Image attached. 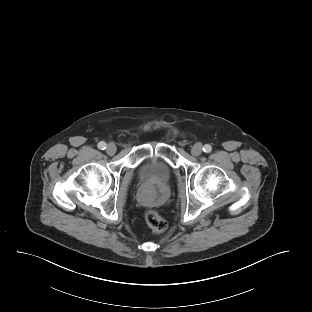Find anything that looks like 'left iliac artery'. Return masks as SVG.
I'll list each match as a JSON object with an SVG mask.
<instances>
[{
	"mask_svg": "<svg viewBox=\"0 0 312 312\" xmlns=\"http://www.w3.org/2000/svg\"><path fill=\"white\" fill-rule=\"evenodd\" d=\"M203 151H204L205 153L211 152V151H212L211 145H209V144L204 145Z\"/></svg>",
	"mask_w": 312,
	"mask_h": 312,
	"instance_id": "1",
	"label": "left iliac artery"
}]
</instances>
